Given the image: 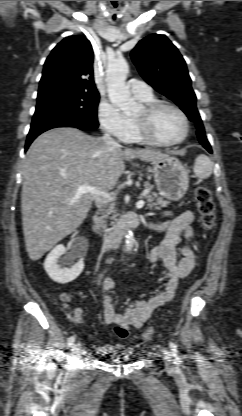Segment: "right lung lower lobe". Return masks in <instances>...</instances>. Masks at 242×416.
<instances>
[{"instance_id":"obj_1","label":"right lung lower lobe","mask_w":242,"mask_h":416,"mask_svg":"<svg viewBox=\"0 0 242 416\" xmlns=\"http://www.w3.org/2000/svg\"><path fill=\"white\" fill-rule=\"evenodd\" d=\"M56 127H76L79 128L81 130H93V128L87 126L84 123H81L77 120H71V119H51V120H44L41 121L35 125H31V129L29 131V134L27 136V141H26V145H25V151L28 149L29 145L31 144V142L41 133L52 129V128H56Z\"/></svg>"}]
</instances>
